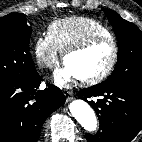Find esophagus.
Segmentation results:
<instances>
[{
  "label": "esophagus",
  "mask_w": 142,
  "mask_h": 142,
  "mask_svg": "<svg viewBox=\"0 0 142 142\" xmlns=\"http://www.w3.org/2000/svg\"><path fill=\"white\" fill-rule=\"evenodd\" d=\"M64 95L66 97V101H71L73 99V94L70 91L64 92Z\"/></svg>",
  "instance_id": "obj_1"
}]
</instances>
